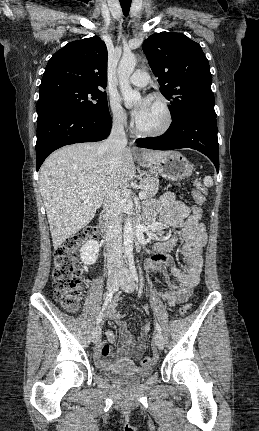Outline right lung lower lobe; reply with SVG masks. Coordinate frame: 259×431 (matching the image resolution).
<instances>
[{"instance_id":"98d812e1","label":"right lung lower lobe","mask_w":259,"mask_h":431,"mask_svg":"<svg viewBox=\"0 0 259 431\" xmlns=\"http://www.w3.org/2000/svg\"><path fill=\"white\" fill-rule=\"evenodd\" d=\"M110 114L94 115L70 108L54 109L38 116L36 169L54 150L74 143L106 139L110 133Z\"/></svg>"}]
</instances>
